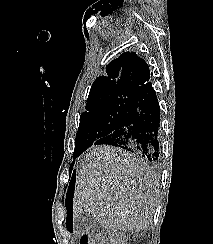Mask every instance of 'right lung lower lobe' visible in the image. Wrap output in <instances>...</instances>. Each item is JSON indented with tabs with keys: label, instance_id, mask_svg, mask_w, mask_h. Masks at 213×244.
Segmentation results:
<instances>
[{
	"label": "right lung lower lobe",
	"instance_id": "1",
	"mask_svg": "<svg viewBox=\"0 0 213 244\" xmlns=\"http://www.w3.org/2000/svg\"><path fill=\"white\" fill-rule=\"evenodd\" d=\"M159 140L160 106L152 83H148L137 94L117 129L98 139L93 145L117 146L149 161H155L159 157ZM74 184L72 178L66 198L68 212V199L73 194Z\"/></svg>",
	"mask_w": 213,
	"mask_h": 244
}]
</instances>
